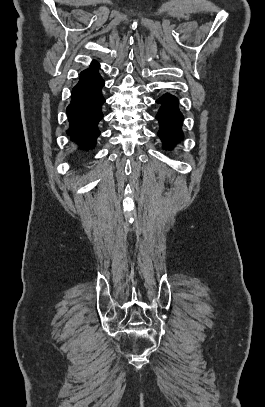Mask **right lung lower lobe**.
<instances>
[{
	"label": "right lung lower lobe",
	"instance_id": "obj_1",
	"mask_svg": "<svg viewBox=\"0 0 265 407\" xmlns=\"http://www.w3.org/2000/svg\"><path fill=\"white\" fill-rule=\"evenodd\" d=\"M99 63L92 61L90 67L80 73L79 81L72 89L71 102L67 107L69 129L67 134L81 148H93L100 135L98 122L105 99L101 89L105 85L98 72Z\"/></svg>",
	"mask_w": 265,
	"mask_h": 407
}]
</instances>
